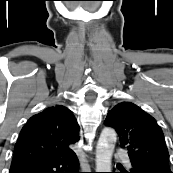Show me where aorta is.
I'll use <instances>...</instances> for the list:
<instances>
[{
    "label": "aorta",
    "mask_w": 173,
    "mask_h": 173,
    "mask_svg": "<svg viewBox=\"0 0 173 173\" xmlns=\"http://www.w3.org/2000/svg\"><path fill=\"white\" fill-rule=\"evenodd\" d=\"M117 134L112 128H104L96 147V172H111L112 155Z\"/></svg>",
    "instance_id": "762f6f07"
}]
</instances>
